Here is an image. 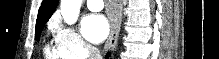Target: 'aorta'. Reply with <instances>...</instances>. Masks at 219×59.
<instances>
[{
	"mask_svg": "<svg viewBox=\"0 0 219 59\" xmlns=\"http://www.w3.org/2000/svg\"><path fill=\"white\" fill-rule=\"evenodd\" d=\"M82 0H61L60 8L63 20L69 25L76 23Z\"/></svg>",
	"mask_w": 219,
	"mask_h": 59,
	"instance_id": "1",
	"label": "aorta"
}]
</instances>
